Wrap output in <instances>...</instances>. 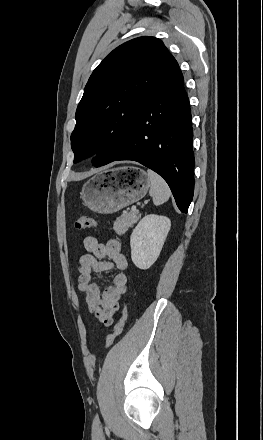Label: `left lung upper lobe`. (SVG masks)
I'll list each match as a JSON object with an SVG mask.
<instances>
[{
	"mask_svg": "<svg viewBox=\"0 0 263 440\" xmlns=\"http://www.w3.org/2000/svg\"><path fill=\"white\" fill-rule=\"evenodd\" d=\"M173 60L161 40L145 36L120 45L96 67L76 110L74 162L97 153L92 162L100 167L123 151L137 115Z\"/></svg>",
	"mask_w": 263,
	"mask_h": 440,
	"instance_id": "5c2ea615",
	"label": "left lung upper lobe"
}]
</instances>
